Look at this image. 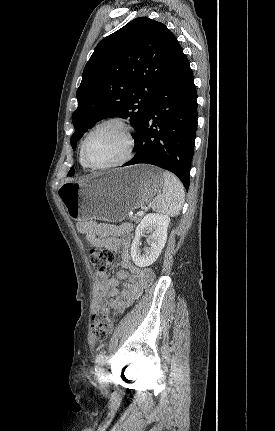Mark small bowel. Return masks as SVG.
<instances>
[{
    "label": "small bowel",
    "mask_w": 275,
    "mask_h": 431,
    "mask_svg": "<svg viewBox=\"0 0 275 431\" xmlns=\"http://www.w3.org/2000/svg\"><path fill=\"white\" fill-rule=\"evenodd\" d=\"M77 230L86 240L97 248L121 251L119 266L121 270L113 277L105 272L95 274L93 312H107L109 308L122 310L136 300L142 290L153 280V273L148 269L134 265L130 257L132 225L97 223L80 221ZM123 282L124 288L119 286Z\"/></svg>",
    "instance_id": "c3829d8e"
}]
</instances>
